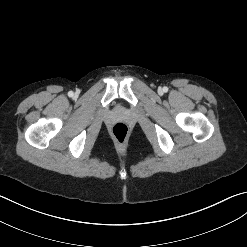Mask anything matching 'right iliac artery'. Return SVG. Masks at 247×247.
<instances>
[{
  "mask_svg": "<svg viewBox=\"0 0 247 247\" xmlns=\"http://www.w3.org/2000/svg\"><path fill=\"white\" fill-rule=\"evenodd\" d=\"M68 96H69V97H72V96H73V92H72V91H69V92H68Z\"/></svg>",
  "mask_w": 247,
  "mask_h": 247,
  "instance_id": "1",
  "label": "right iliac artery"
}]
</instances>
